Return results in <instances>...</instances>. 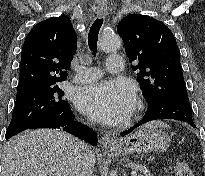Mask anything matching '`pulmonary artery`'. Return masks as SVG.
Wrapping results in <instances>:
<instances>
[{
	"instance_id": "pulmonary-artery-1",
	"label": "pulmonary artery",
	"mask_w": 205,
	"mask_h": 176,
	"mask_svg": "<svg viewBox=\"0 0 205 176\" xmlns=\"http://www.w3.org/2000/svg\"><path fill=\"white\" fill-rule=\"evenodd\" d=\"M107 70L113 74H120L123 71V60L120 55H110L107 58ZM102 76L101 69L97 67L80 66L77 68V74L74 82L78 84L89 83L99 79Z\"/></svg>"
}]
</instances>
